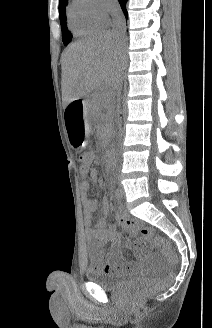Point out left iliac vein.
<instances>
[{"label": "left iliac vein", "mask_w": 212, "mask_h": 328, "mask_svg": "<svg viewBox=\"0 0 212 328\" xmlns=\"http://www.w3.org/2000/svg\"><path fill=\"white\" fill-rule=\"evenodd\" d=\"M119 188H120V193H121V196H124V189H123V187H122V185H119Z\"/></svg>", "instance_id": "obj_1"}]
</instances>
